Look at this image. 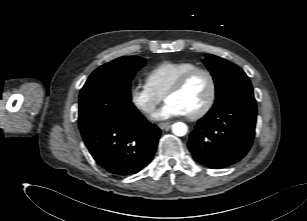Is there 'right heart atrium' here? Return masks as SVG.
<instances>
[{"label":"right heart atrium","instance_id":"1","mask_svg":"<svg viewBox=\"0 0 307 221\" xmlns=\"http://www.w3.org/2000/svg\"><path fill=\"white\" fill-rule=\"evenodd\" d=\"M129 96L132 105L145 115H151L162 101V96L145 83L132 85Z\"/></svg>","mask_w":307,"mask_h":221}]
</instances>
